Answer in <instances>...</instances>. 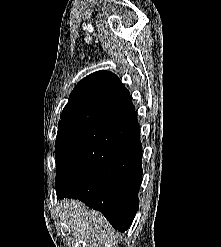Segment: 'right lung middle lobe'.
Masks as SVG:
<instances>
[{"mask_svg":"<svg viewBox=\"0 0 221 247\" xmlns=\"http://www.w3.org/2000/svg\"><path fill=\"white\" fill-rule=\"evenodd\" d=\"M85 128L81 127H67L58 129L57 138L55 142V155L56 161L61 156L65 147Z\"/></svg>","mask_w":221,"mask_h":247,"instance_id":"1","label":"right lung middle lobe"}]
</instances>
